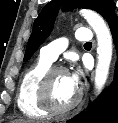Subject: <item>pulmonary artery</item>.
Here are the masks:
<instances>
[{
	"instance_id": "pulmonary-artery-1",
	"label": "pulmonary artery",
	"mask_w": 118,
	"mask_h": 123,
	"mask_svg": "<svg viewBox=\"0 0 118 123\" xmlns=\"http://www.w3.org/2000/svg\"><path fill=\"white\" fill-rule=\"evenodd\" d=\"M75 38L78 41H89L92 38L91 30L89 28H79L75 33ZM67 45L68 41L66 38L57 39L42 47L40 50V56L52 63L58 58L59 54L66 49Z\"/></svg>"
}]
</instances>
